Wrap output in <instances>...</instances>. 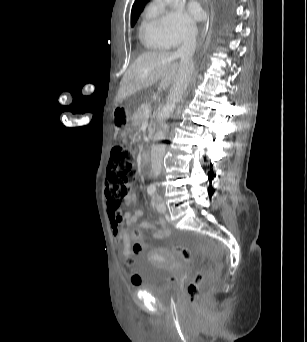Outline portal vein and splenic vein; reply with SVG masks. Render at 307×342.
Wrapping results in <instances>:
<instances>
[{
    "label": "portal vein and splenic vein",
    "mask_w": 307,
    "mask_h": 342,
    "mask_svg": "<svg viewBox=\"0 0 307 342\" xmlns=\"http://www.w3.org/2000/svg\"><path fill=\"white\" fill-rule=\"evenodd\" d=\"M151 111L154 109L152 106L149 108ZM145 118L149 117V110H147V113L144 114Z\"/></svg>",
    "instance_id": "obj_1"
}]
</instances>
